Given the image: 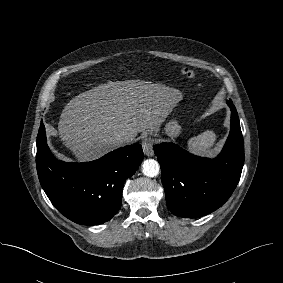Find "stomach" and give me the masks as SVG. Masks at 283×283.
Here are the masks:
<instances>
[{
  "instance_id": "obj_1",
  "label": "stomach",
  "mask_w": 283,
  "mask_h": 283,
  "mask_svg": "<svg viewBox=\"0 0 283 283\" xmlns=\"http://www.w3.org/2000/svg\"><path fill=\"white\" fill-rule=\"evenodd\" d=\"M164 133L170 138H176L181 133V126L175 119H172L166 123Z\"/></svg>"
}]
</instances>
